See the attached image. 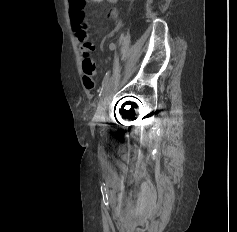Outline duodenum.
<instances>
[{
  "mask_svg": "<svg viewBox=\"0 0 237 232\" xmlns=\"http://www.w3.org/2000/svg\"><path fill=\"white\" fill-rule=\"evenodd\" d=\"M110 3H114L116 2L117 0H108Z\"/></svg>",
  "mask_w": 237,
  "mask_h": 232,
  "instance_id": "obj_1",
  "label": "duodenum"
}]
</instances>
